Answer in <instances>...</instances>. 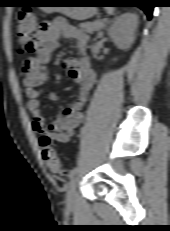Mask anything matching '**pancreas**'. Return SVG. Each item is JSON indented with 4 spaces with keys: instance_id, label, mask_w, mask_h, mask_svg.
I'll use <instances>...</instances> for the list:
<instances>
[{
    "instance_id": "pancreas-1",
    "label": "pancreas",
    "mask_w": 170,
    "mask_h": 231,
    "mask_svg": "<svg viewBox=\"0 0 170 231\" xmlns=\"http://www.w3.org/2000/svg\"><path fill=\"white\" fill-rule=\"evenodd\" d=\"M103 21L97 20L95 22H85L79 24V27L82 31H85L89 34H92L94 31H98L102 28Z\"/></svg>"
}]
</instances>
